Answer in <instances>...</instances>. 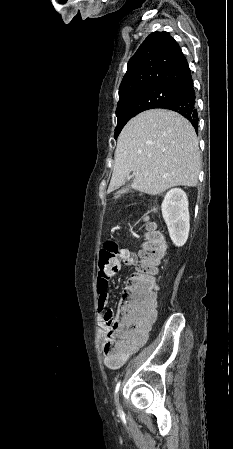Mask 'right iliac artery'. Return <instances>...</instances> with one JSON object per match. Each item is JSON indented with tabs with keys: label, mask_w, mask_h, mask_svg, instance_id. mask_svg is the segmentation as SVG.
I'll return each mask as SVG.
<instances>
[{
	"label": "right iliac artery",
	"mask_w": 233,
	"mask_h": 449,
	"mask_svg": "<svg viewBox=\"0 0 233 449\" xmlns=\"http://www.w3.org/2000/svg\"><path fill=\"white\" fill-rule=\"evenodd\" d=\"M120 388V382L117 383L116 388H115V396L117 395L118 391Z\"/></svg>",
	"instance_id": "right-iliac-artery-1"
}]
</instances>
